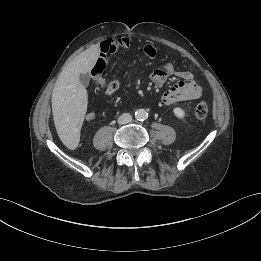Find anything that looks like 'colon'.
Here are the masks:
<instances>
[{
	"label": "colon",
	"instance_id": "1",
	"mask_svg": "<svg viewBox=\"0 0 261 261\" xmlns=\"http://www.w3.org/2000/svg\"><path fill=\"white\" fill-rule=\"evenodd\" d=\"M101 70H93V80L101 88L104 94H111V89L108 84L101 78ZM195 116L198 119H204L208 114V105L206 101H200L195 106Z\"/></svg>",
	"mask_w": 261,
	"mask_h": 261
}]
</instances>
